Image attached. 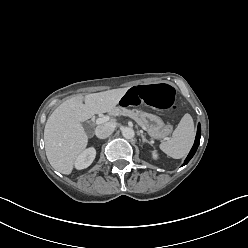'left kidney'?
I'll list each match as a JSON object with an SVG mask.
<instances>
[{"label":"left kidney","instance_id":"left-kidney-1","mask_svg":"<svg viewBox=\"0 0 248 248\" xmlns=\"http://www.w3.org/2000/svg\"><path fill=\"white\" fill-rule=\"evenodd\" d=\"M152 157H153L154 159H158V154L154 151V152L152 153Z\"/></svg>","mask_w":248,"mask_h":248}]
</instances>
